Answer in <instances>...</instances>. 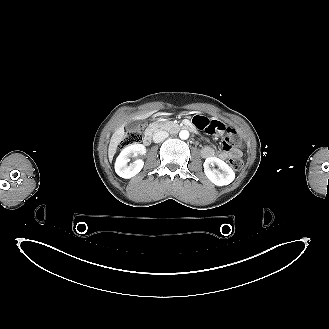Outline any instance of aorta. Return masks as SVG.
Wrapping results in <instances>:
<instances>
[{
  "label": "aorta",
  "mask_w": 329,
  "mask_h": 329,
  "mask_svg": "<svg viewBox=\"0 0 329 329\" xmlns=\"http://www.w3.org/2000/svg\"><path fill=\"white\" fill-rule=\"evenodd\" d=\"M179 137L182 140H186V139L189 138V132L187 130H181L180 133H179Z\"/></svg>",
  "instance_id": "aorta-1"
}]
</instances>
